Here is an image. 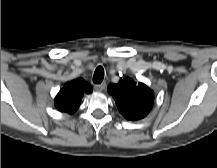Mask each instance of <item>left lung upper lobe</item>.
I'll return each instance as SVG.
<instances>
[{"mask_svg":"<svg viewBox=\"0 0 217 168\" xmlns=\"http://www.w3.org/2000/svg\"><path fill=\"white\" fill-rule=\"evenodd\" d=\"M108 92L113 96L119 112L127 120L144 118L153 106V91L129 77L123 78L117 84H110Z\"/></svg>","mask_w":217,"mask_h":168,"instance_id":"left-lung-upper-lobe-1","label":"left lung upper lobe"}]
</instances>
